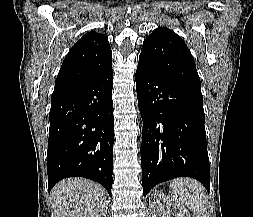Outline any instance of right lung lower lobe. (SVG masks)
<instances>
[{"label":"right lung lower lobe","mask_w":253,"mask_h":217,"mask_svg":"<svg viewBox=\"0 0 253 217\" xmlns=\"http://www.w3.org/2000/svg\"><path fill=\"white\" fill-rule=\"evenodd\" d=\"M112 66L81 83L54 90L49 114L48 190L61 179L81 176L111 196L114 117Z\"/></svg>","instance_id":"98d812e1"}]
</instances>
